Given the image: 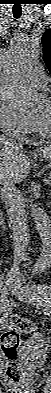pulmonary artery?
Wrapping results in <instances>:
<instances>
[{
    "mask_svg": "<svg viewBox=\"0 0 51 393\" xmlns=\"http://www.w3.org/2000/svg\"><path fill=\"white\" fill-rule=\"evenodd\" d=\"M30 80L32 84L39 89H46L48 84V77L44 75L41 69H35L30 75Z\"/></svg>",
    "mask_w": 51,
    "mask_h": 393,
    "instance_id": "1",
    "label": "pulmonary artery"
}]
</instances>
